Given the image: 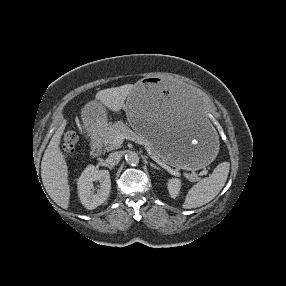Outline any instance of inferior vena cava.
Returning a JSON list of instances; mask_svg holds the SVG:
<instances>
[{
	"label": "inferior vena cava",
	"mask_w": 286,
	"mask_h": 286,
	"mask_svg": "<svg viewBox=\"0 0 286 286\" xmlns=\"http://www.w3.org/2000/svg\"><path fill=\"white\" fill-rule=\"evenodd\" d=\"M121 157H122V154L120 151L112 152L109 154L107 158V163L111 166H115L119 163V161L121 160Z\"/></svg>",
	"instance_id": "1"
}]
</instances>
